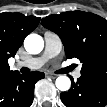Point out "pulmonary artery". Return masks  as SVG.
Here are the masks:
<instances>
[{"label":"pulmonary artery","instance_id":"pulmonary-artery-1","mask_svg":"<svg viewBox=\"0 0 107 107\" xmlns=\"http://www.w3.org/2000/svg\"><path fill=\"white\" fill-rule=\"evenodd\" d=\"M44 41H45V48L44 52L40 57L31 58L22 62H19V66H25L30 69H38L42 67L48 59L56 56L59 54L62 48L61 39L58 35L53 32L47 31L44 33ZM81 75L80 71H76L74 73L75 78H79Z\"/></svg>","mask_w":107,"mask_h":107}]
</instances>
